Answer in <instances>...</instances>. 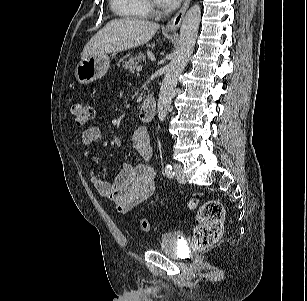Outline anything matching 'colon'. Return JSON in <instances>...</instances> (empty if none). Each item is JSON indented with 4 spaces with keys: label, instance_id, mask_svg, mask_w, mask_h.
<instances>
[{
    "label": "colon",
    "instance_id": "1",
    "mask_svg": "<svg viewBox=\"0 0 307 301\" xmlns=\"http://www.w3.org/2000/svg\"><path fill=\"white\" fill-rule=\"evenodd\" d=\"M70 113L73 116L74 123L83 127L94 119L95 110L93 106L82 100H73L70 103ZM189 206L197 209L198 224L193 229V244L197 249H204L215 244L221 237L224 221L223 205L214 199L198 203L192 200ZM139 228L143 232L151 229L148 219L139 221Z\"/></svg>",
    "mask_w": 307,
    "mask_h": 301
}]
</instances>
